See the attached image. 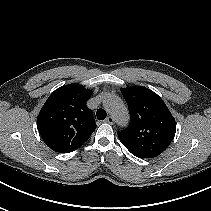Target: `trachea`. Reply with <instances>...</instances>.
<instances>
[{
  "label": "trachea",
  "mask_w": 211,
  "mask_h": 211,
  "mask_svg": "<svg viewBox=\"0 0 211 211\" xmlns=\"http://www.w3.org/2000/svg\"><path fill=\"white\" fill-rule=\"evenodd\" d=\"M96 116H97L98 120H104L107 116V113L104 109L100 108L97 110Z\"/></svg>",
  "instance_id": "3493384b"
}]
</instances>
